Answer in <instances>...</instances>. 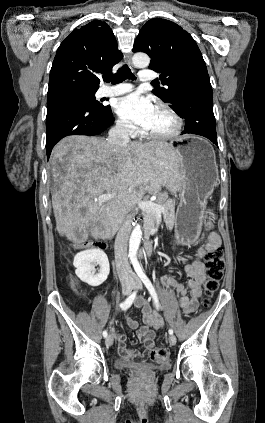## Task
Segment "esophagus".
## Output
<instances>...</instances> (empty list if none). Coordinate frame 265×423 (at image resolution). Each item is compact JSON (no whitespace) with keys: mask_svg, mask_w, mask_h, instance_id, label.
<instances>
[{"mask_svg":"<svg viewBox=\"0 0 265 423\" xmlns=\"http://www.w3.org/2000/svg\"><path fill=\"white\" fill-rule=\"evenodd\" d=\"M126 62L131 69H134V66H133V63H132V54L131 53L126 55Z\"/></svg>","mask_w":265,"mask_h":423,"instance_id":"34e87169","label":"esophagus"}]
</instances>
